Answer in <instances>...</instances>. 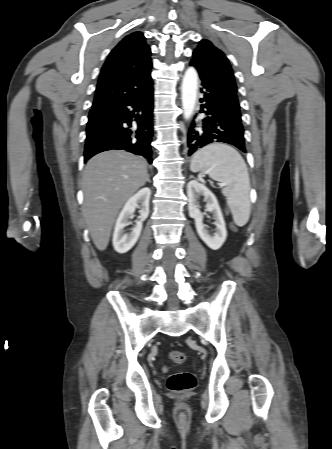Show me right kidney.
I'll list each match as a JSON object with an SVG mask.
<instances>
[{
  "mask_svg": "<svg viewBox=\"0 0 332 449\" xmlns=\"http://www.w3.org/2000/svg\"><path fill=\"white\" fill-rule=\"evenodd\" d=\"M151 196V190L149 188H143L133 195L124 205L120 212L113 233V246L118 253L128 252L137 242L141 230L142 223L149 215V200ZM136 208H140L139 220L132 228L129 234L124 232V228L127 226L128 220L133 216Z\"/></svg>",
  "mask_w": 332,
  "mask_h": 449,
  "instance_id": "right-kidney-1",
  "label": "right kidney"
}]
</instances>
